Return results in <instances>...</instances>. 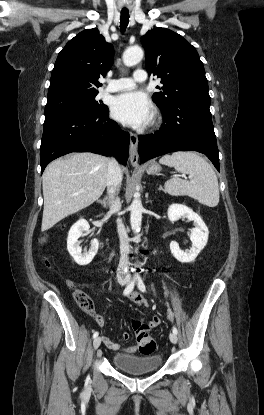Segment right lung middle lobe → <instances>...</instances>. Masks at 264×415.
Segmentation results:
<instances>
[{
    "instance_id": "obj_1",
    "label": "right lung middle lobe",
    "mask_w": 264,
    "mask_h": 415,
    "mask_svg": "<svg viewBox=\"0 0 264 415\" xmlns=\"http://www.w3.org/2000/svg\"><path fill=\"white\" fill-rule=\"evenodd\" d=\"M98 92H67L53 97H48L45 106V116L54 113L75 112H99L107 108L101 101H96Z\"/></svg>"
}]
</instances>
